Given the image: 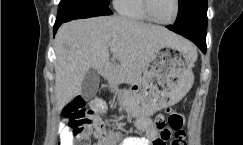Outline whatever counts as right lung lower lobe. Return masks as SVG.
<instances>
[{"label": "right lung lower lobe", "instance_id": "1", "mask_svg": "<svg viewBox=\"0 0 243 145\" xmlns=\"http://www.w3.org/2000/svg\"><path fill=\"white\" fill-rule=\"evenodd\" d=\"M109 6L95 0H61L58 6V15L53 27L56 34L59 26L73 19L89 18L94 16L111 15Z\"/></svg>", "mask_w": 243, "mask_h": 145}]
</instances>
